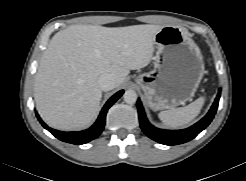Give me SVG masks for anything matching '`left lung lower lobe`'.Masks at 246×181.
<instances>
[{"label":"left lung lower lobe","instance_id":"1","mask_svg":"<svg viewBox=\"0 0 246 181\" xmlns=\"http://www.w3.org/2000/svg\"><path fill=\"white\" fill-rule=\"evenodd\" d=\"M221 92L219 90L218 95L207 113V115L198 121L193 126L183 129V130H162L152 126L145 115L144 109L142 107L141 101L138 100V113H139V120L140 126L143 132L153 139L156 142H159L164 145H177L188 142L195 138L202 130H204L214 118V115L217 111L218 101L220 98Z\"/></svg>","mask_w":246,"mask_h":181}]
</instances>
